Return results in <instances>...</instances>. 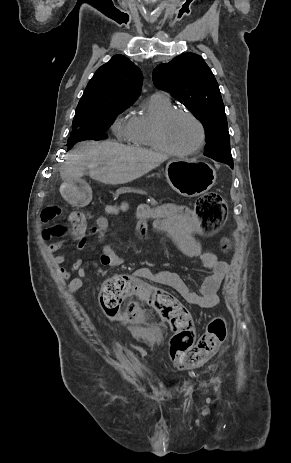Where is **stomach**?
Returning a JSON list of instances; mask_svg holds the SVG:
<instances>
[{"mask_svg":"<svg viewBox=\"0 0 291 463\" xmlns=\"http://www.w3.org/2000/svg\"><path fill=\"white\" fill-rule=\"evenodd\" d=\"M165 176L171 187L186 197L204 194L213 187L216 181V171L210 164L186 158L169 161ZM60 192L63 198L73 206H83L91 200L89 187L81 181H64Z\"/></svg>","mask_w":291,"mask_h":463,"instance_id":"stomach-1","label":"stomach"}]
</instances>
